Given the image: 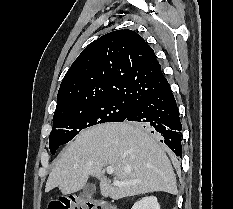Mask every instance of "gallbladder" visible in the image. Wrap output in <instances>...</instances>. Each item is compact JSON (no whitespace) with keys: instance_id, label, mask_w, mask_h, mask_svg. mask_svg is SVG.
Wrapping results in <instances>:
<instances>
[{"instance_id":"gallbladder-1","label":"gallbladder","mask_w":233,"mask_h":209,"mask_svg":"<svg viewBox=\"0 0 233 209\" xmlns=\"http://www.w3.org/2000/svg\"><path fill=\"white\" fill-rule=\"evenodd\" d=\"M95 192V187L94 186H89V187H85L84 189H83V192H82V194L84 195V196H91L93 193Z\"/></svg>"}]
</instances>
